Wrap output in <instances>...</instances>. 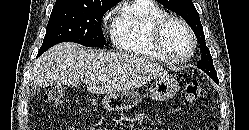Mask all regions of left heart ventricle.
<instances>
[{"instance_id":"b2bd125f","label":"left heart ventricle","mask_w":249,"mask_h":130,"mask_svg":"<svg viewBox=\"0 0 249 130\" xmlns=\"http://www.w3.org/2000/svg\"><path fill=\"white\" fill-rule=\"evenodd\" d=\"M164 43L167 51L176 58L187 56L191 50V41L186 30L176 22L168 26Z\"/></svg>"}]
</instances>
